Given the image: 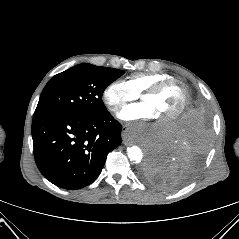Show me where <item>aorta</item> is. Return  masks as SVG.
<instances>
[{
  "label": "aorta",
  "mask_w": 239,
  "mask_h": 239,
  "mask_svg": "<svg viewBox=\"0 0 239 239\" xmlns=\"http://www.w3.org/2000/svg\"><path fill=\"white\" fill-rule=\"evenodd\" d=\"M127 155L131 161H135L137 163L141 162V160L143 159L142 150L135 145L127 148Z\"/></svg>",
  "instance_id": "obj_1"
}]
</instances>
